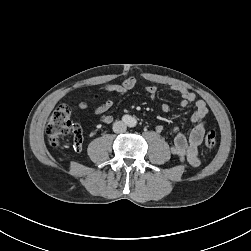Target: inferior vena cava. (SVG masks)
<instances>
[{
  "label": "inferior vena cava",
  "instance_id": "1",
  "mask_svg": "<svg viewBox=\"0 0 251 251\" xmlns=\"http://www.w3.org/2000/svg\"><path fill=\"white\" fill-rule=\"evenodd\" d=\"M127 129V126L122 121H116L113 125V131L115 133H124Z\"/></svg>",
  "mask_w": 251,
  "mask_h": 251
}]
</instances>
